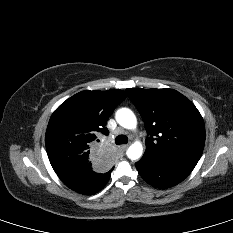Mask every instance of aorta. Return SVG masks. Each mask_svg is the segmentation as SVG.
Returning a JSON list of instances; mask_svg holds the SVG:
<instances>
[{
  "instance_id": "1",
  "label": "aorta",
  "mask_w": 233,
  "mask_h": 233,
  "mask_svg": "<svg viewBox=\"0 0 233 233\" xmlns=\"http://www.w3.org/2000/svg\"><path fill=\"white\" fill-rule=\"evenodd\" d=\"M117 123L125 129H135L137 126V119L135 114L128 108H120L115 114ZM131 160L139 159L143 154V146L140 142L133 143L126 152Z\"/></svg>"
}]
</instances>
